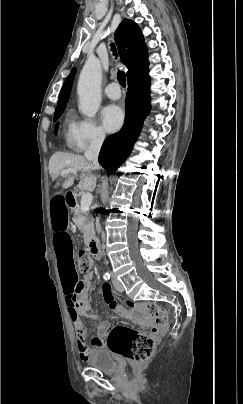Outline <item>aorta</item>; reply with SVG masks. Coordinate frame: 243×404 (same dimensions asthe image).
I'll return each instance as SVG.
<instances>
[{"label":"aorta","instance_id":"aorta-1","mask_svg":"<svg viewBox=\"0 0 243 404\" xmlns=\"http://www.w3.org/2000/svg\"><path fill=\"white\" fill-rule=\"evenodd\" d=\"M102 68L100 60L88 56L79 76L77 92L79 110L88 118H95L101 104Z\"/></svg>","mask_w":243,"mask_h":404}]
</instances>
